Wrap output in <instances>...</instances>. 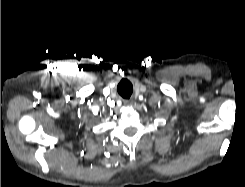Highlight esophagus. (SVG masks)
<instances>
[{
  "mask_svg": "<svg viewBox=\"0 0 245 187\" xmlns=\"http://www.w3.org/2000/svg\"><path fill=\"white\" fill-rule=\"evenodd\" d=\"M132 103H133V102H132L131 100H125V101H124V105H125V106H131Z\"/></svg>",
  "mask_w": 245,
  "mask_h": 187,
  "instance_id": "34e87169",
  "label": "esophagus"
}]
</instances>
